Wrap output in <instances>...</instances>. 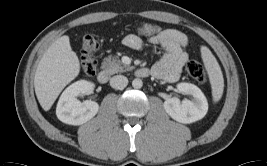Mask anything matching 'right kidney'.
Instances as JSON below:
<instances>
[{
	"label": "right kidney",
	"instance_id": "ca27d5eb",
	"mask_svg": "<svg viewBox=\"0 0 267 166\" xmlns=\"http://www.w3.org/2000/svg\"><path fill=\"white\" fill-rule=\"evenodd\" d=\"M94 85L86 80H79L67 87L59 98L56 115L60 121L69 125H81L92 119L99 110V105L91 100L79 101L80 94H91Z\"/></svg>",
	"mask_w": 267,
	"mask_h": 166
}]
</instances>
